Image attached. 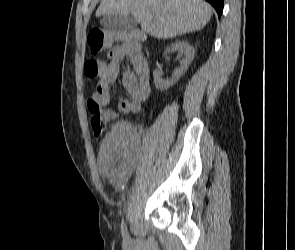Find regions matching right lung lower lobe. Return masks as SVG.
I'll list each match as a JSON object with an SVG mask.
<instances>
[{
	"mask_svg": "<svg viewBox=\"0 0 295 250\" xmlns=\"http://www.w3.org/2000/svg\"><path fill=\"white\" fill-rule=\"evenodd\" d=\"M209 2L217 11L218 17H221L223 11L224 0H206Z\"/></svg>",
	"mask_w": 295,
	"mask_h": 250,
	"instance_id": "obj_1",
	"label": "right lung lower lobe"
}]
</instances>
